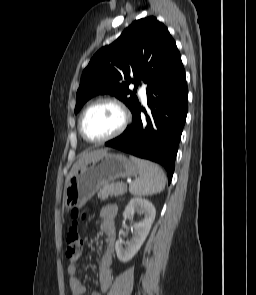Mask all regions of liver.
I'll list each match as a JSON object with an SVG mask.
<instances>
[{"instance_id":"1","label":"liver","mask_w":256,"mask_h":295,"mask_svg":"<svg viewBox=\"0 0 256 295\" xmlns=\"http://www.w3.org/2000/svg\"><path fill=\"white\" fill-rule=\"evenodd\" d=\"M107 149H99V150H94V151H89V152H84L80 158L77 160V162L73 165L70 173L68 174L67 178H66V185L69 182V180L71 179V177L73 176V174L79 169L81 168L84 164H86L87 162L97 158L98 156H100L101 154L107 152Z\"/></svg>"}]
</instances>
